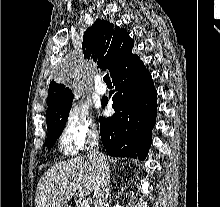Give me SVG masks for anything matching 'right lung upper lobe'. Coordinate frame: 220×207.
I'll return each instance as SVG.
<instances>
[{
	"label": "right lung upper lobe",
	"mask_w": 220,
	"mask_h": 207,
	"mask_svg": "<svg viewBox=\"0 0 220 207\" xmlns=\"http://www.w3.org/2000/svg\"><path fill=\"white\" fill-rule=\"evenodd\" d=\"M133 39L129 33L103 19H97L83 35L84 57L93 59L102 70L110 75L125 58L132 54ZM71 97L72 92L64 84L51 81L48 90L46 117L53 115Z\"/></svg>",
	"instance_id": "1"
}]
</instances>
